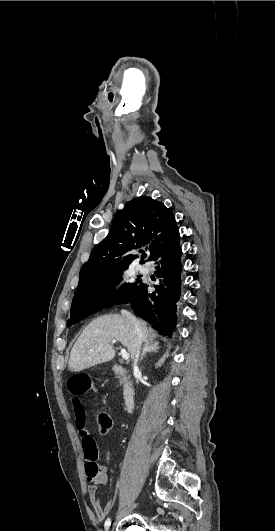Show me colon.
<instances>
[{
	"label": "colon",
	"instance_id": "obj_1",
	"mask_svg": "<svg viewBox=\"0 0 275 531\" xmlns=\"http://www.w3.org/2000/svg\"><path fill=\"white\" fill-rule=\"evenodd\" d=\"M82 377H91V376L84 375ZM96 421H97L99 432L101 434L108 433L112 427V419L110 415L106 412H98L96 414Z\"/></svg>",
	"mask_w": 275,
	"mask_h": 531
}]
</instances>
